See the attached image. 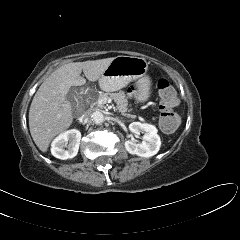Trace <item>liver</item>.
Wrapping results in <instances>:
<instances>
[{
    "instance_id": "obj_1",
    "label": "liver",
    "mask_w": 240,
    "mask_h": 240,
    "mask_svg": "<svg viewBox=\"0 0 240 240\" xmlns=\"http://www.w3.org/2000/svg\"><path fill=\"white\" fill-rule=\"evenodd\" d=\"M114 58L65 64L51 73L35 93L29 109L31 136L42 151L46 152L55 136L70 127L73 121L72 104L67 100L72 86H82L86 79H100Z\"/></svg>"
}]
</instances>
